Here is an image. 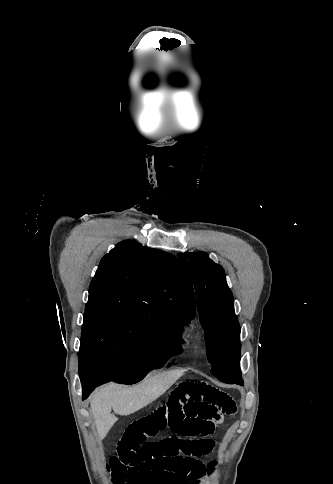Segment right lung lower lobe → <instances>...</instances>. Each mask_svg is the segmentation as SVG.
I'll use <instances>...</instances> for the list:
<instances>
[{
    "mask_svg": "<svg viewBox=\"0 0 333 484\" xmlns=\"http://www.w3.org/2000/svg\"><path fill=\"white\" fill-rule=\"evenodd\" d=\"M179 346L181 347V344H179ZM110 380H111V377L102 376L99 373H96L91 377H88L86 379L81 380L82 390H83V399L87 398V396L91 393V391L95 387H97V386H99L103 383H106Z\"/></svg>",
    "mask_w": 333,
    "mask_h": 484,
    "instance_id": "right-lung-lower-lobe-1",
    "label": "right lung lower lobe"
}]
</instances>
